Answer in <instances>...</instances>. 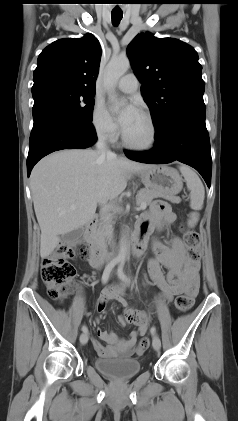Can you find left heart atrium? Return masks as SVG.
Returning a JSON list of instances; mask_svg holds the SVG:
<instances>
[{
    "instance_id": "obj_1",
    "label": "left heart atrium",
    "mask_w": 238,
    "mask_h": 421,
    "mask_svg": "<svg viewBox=\"0 0 238 421\" xmlns=\"http://www.w3.org/2000/svg\"><path fill=\"white\" fill-rule=\"evenodd\" d=\"M138 113V109L133 104H129L119 117L121 126L124 128Z\"/></svg>"
}]
</instances>
